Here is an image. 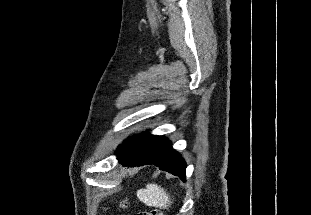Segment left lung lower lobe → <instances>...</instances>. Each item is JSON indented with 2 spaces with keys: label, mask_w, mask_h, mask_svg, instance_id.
Segmentation results:
<instances>
[{
  "label": "left lung lower lobe",
  "mask_w": 311,
  "mask_h": 215,
  "mask_svg": "<svg viewBox=\"0 0 311 215\" xmlns=\"http://www.w3.org/2000/svg\"><path fill=\"white\" fill-rule=\"evenodd\" d=\"M117 158L123 165L130 167L156 165L160 170L177 175L185 181L186 163L163 136L143 132Z\"/></svg>",
  "instance_id": "left-lung-lower-lobe-1"
}]
</instances>
